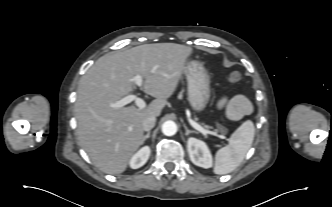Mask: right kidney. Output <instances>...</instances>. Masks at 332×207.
Segmentation results:
<instances>
[{
  "instance_id": "obj_1",
  "label": "right kidney",
  "mask_w": 332,
  "mask_h": 207,
  "mask_svg": "<svg viewBox=\"0 0 332 207\" xmlns=\"http://www.w3.org/2000/svg\"><path fill=\"white\" fill-rule=\"evenodd\" d=\"M150 153H151V151L148 146L141 148L130 159V167L133 169H138V168L142 167L149 159Z\"/></svg>"
}]
</instances>
